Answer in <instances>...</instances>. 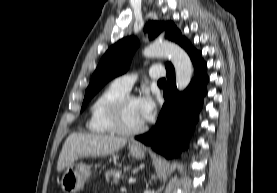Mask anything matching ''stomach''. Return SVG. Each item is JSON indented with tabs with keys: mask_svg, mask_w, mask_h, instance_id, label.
<instances>
[{
	"mask_svg": "<svg viewBox=\"0 0 277 193\" xmlns=\"http://www.w3.org/2000/svg\"><path fill=\"white\" fill-rule=\"evenodd\" d=\"M130 154L138 159L145 157V148L136 142L129 143ZM91 175V166L85 163L72 164L66 169L61 179V186L65 193H77L82 190L84 184Z\"/></svg>",
	"mask_w": 277,
	"mask_h": 193,
	"instance_id": "1",
	"label": "stomach"
}]
</instances>
